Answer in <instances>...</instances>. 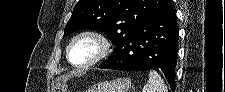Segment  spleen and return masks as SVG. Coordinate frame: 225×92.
<instances>
[{"mask_svg": "<svg viewBox=\"0 0 225 92\" xmlns=\"http://www.w3.org/2000/svg\"><path fill=\"white\" fill-rule=\"evenodd\" d=\"M142 92H168V89L160 75L156 71H150L149 80Z\"/></svg>", "mask_w": 225, "mask_h": 92, "instance_id": "3e777b00", "label": "spleen"}]
</instances>
